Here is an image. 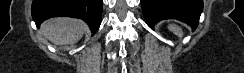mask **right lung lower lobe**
<instances>
[{
  "instance_id": "1",
  "label": "right lung lower lobe",
  "mask_w": 244,
  "mask_h": 73,
  "mask_svg": "<svg viewBox=\"0 0 244 73\" xmlns=\"http://www.w3.org/2000/svg\"><path fill=\"white\" fill-rule=\"evenodd\" d=\"M103 0H33L32 18L37 27L51 17L68 16L88 23L92 34L101 24Z\"/></svg>"
}]
</instances>
